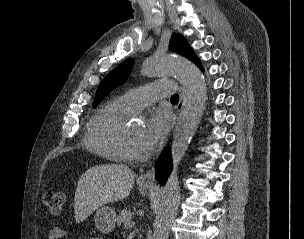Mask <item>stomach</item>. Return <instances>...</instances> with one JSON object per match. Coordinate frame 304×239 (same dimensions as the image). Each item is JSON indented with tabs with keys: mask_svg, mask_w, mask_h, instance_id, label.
Returning a JSON list of instances; mask_svg holds the SVG:
<instances>
[{
	"mask_svg": "<svg viewBox=\"0 0 304 239\" xmlns=\"http://www.w3.org/2000/svg\"><path fill=\"white\" fill-rule=\"evenodd\" d=\"M147 188V185L143 186ZM96 228L104 233L108 234L113 231L116 222V213L113 208L108 206H101L96 209L94 216Z\"/></svg>",
	"mask_w": 304,
	"mask_h": 239,
	"instance_id": "0dacf381",
	"label": "stomach"
}]
</instances>
